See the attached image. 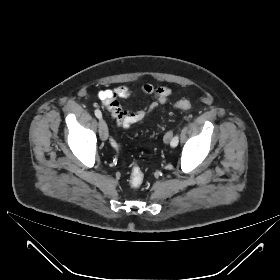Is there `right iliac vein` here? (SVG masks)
<instances>
[{
	"label": "right iliac vein",
	"mask_w": 280,
	"mask_h": 280,
	"mask_svg": "<svg viewBox=\"0 0 280 280\" xmlns=\"http://www.w3.org/2000/svg\"><path fill=\"white\" fill-rule=\"evenodd\" d=\"M99 136L102 141H105L108 138V127L103 119L99 122Z\"/></svg>",
	"instance_id": "63e3f726"
}]
</instances>
